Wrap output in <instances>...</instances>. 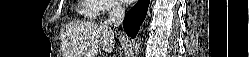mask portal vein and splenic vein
I'll list each match as a JSON object with an SVG mask.
<instances>
[{"label": "portal vein and splenic vein", "mask_w": 249, "mask_h": 57, "mask_svg": "<svg viewBox=\"0 0 249 57\" xmlns=\"http://www.w3.org/2000/svg\"><path fill=\"white\" fill-rule=\"evenodd\" d=\"M93 53H95V54H96L97 52H96V51H93Z\"/></svg>", "instance_id": "portal-vein-and-splenic-vein-1"}]
</instances>
